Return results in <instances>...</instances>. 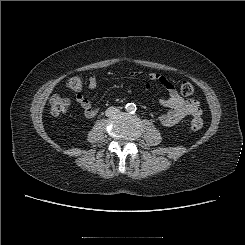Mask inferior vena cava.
Masks as SVG:
<instances>
[{"label": "inferior vena cava", "instance_id": "1", "mask_svg": "<svg viewBox=\"0 0 245 245\" xmlns=\"http://www.w3.org/2000/svg\"><path fill=\"white\" fill-rule=\"evenodd\" d=\"M120 113V110L116 107H109L107 108V110L105 111V114L107 117H113L116 114Z\"/></svg>", "mask_w": 245, "mask_h": 245}]
</instances>
